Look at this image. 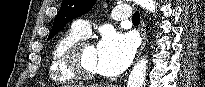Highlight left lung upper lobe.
<instances>
[{"instance_id":"1","label":"left lung upper lobe","mask_w":205,"mask_h":87,"mask_svg":"<svg viewBox=\"0 0 205 87\" xmlns=\"http://www.w3.org/2000/svg\"><path fill=\"white\" fill-rule=\"evenodd\" d=\"M95 2L96 0H63L48 40L53 38L68 22L92 9Z\"/></svg>"}]
</instances>
